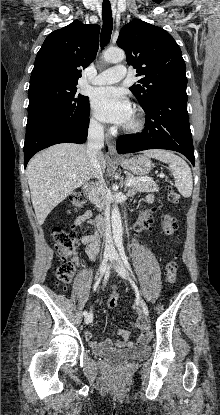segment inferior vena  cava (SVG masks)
<instances>
[{
    "mask_svg": "<svg viewBox=\"0 0 220 415\" xmlns=\"http://www.w3.org/2000/svg\"><path fill=\"white\" fill-rule=\"evenodd\" d=\"M103 125L97 122H92L88 130L87 154L90 160V165L93 170L94 178L100 179L102 171L99 164L98 156L104 146V131ZM99 223L105 225V250L113 251V241L111 235L110 220L108 217L100 219Z\"/></svg>",
    "mask_w": 220,
    "mask_h": 415,
    "instance_id": "obj_1",
    "label": "inferior vena cava"
}]
</instances>
